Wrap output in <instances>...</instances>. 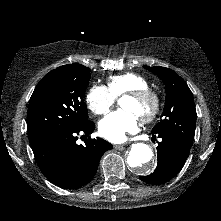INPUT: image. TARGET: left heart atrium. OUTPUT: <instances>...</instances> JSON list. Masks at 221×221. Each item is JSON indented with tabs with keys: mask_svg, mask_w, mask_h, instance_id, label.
<instances>
[{
	"mask_svg": "<svg viewBox=\"0 0 221 221\" xmlns=\"http://www.w3.org/2000/svg\"><path fill=\"white\" fill-rule=\"evenodd\" d=\"M138 117L132 111L120 109L100 120L98 130L102 137L111 142H122L127 134L138 129Z\"/></svg>",
	"mask_w": 221,
	"mask_h": 221,
	"instance_id": "1",
	"label": "left heart atrium"
}]
</instances>
